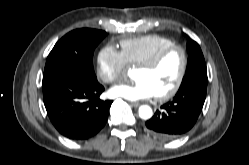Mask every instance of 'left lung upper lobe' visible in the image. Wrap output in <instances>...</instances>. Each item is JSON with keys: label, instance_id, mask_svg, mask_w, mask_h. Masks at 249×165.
<instances>
[{"label": "left lung upper lobe", "instance_id": "5c2ea615", "mask_svg": "<svg viewBox=\"0 0 249 165\" xmlns=\"http://www.w3.org/2000/svg\"><path fill=\"white\" fill-rule=\"evenodd\" d=\"M188 62L185 76L182 80L181 88H184L192 83L207 84V68L204 56L199 45L190 40L187 43Z\"/></svg>", "mask_w": 249, "mask_h": 165}]
</instances>
